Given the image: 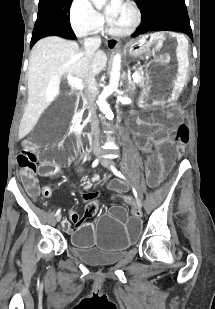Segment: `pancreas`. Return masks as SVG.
Wrapping results in <instances>:
<instances>
[{
  "instance_id": "pancreas-1",
  "label": "pancreas",
  "mask_w": 215,
  "mask_h": 309,
  "mask_svg": "<svg viewBox=\"0 0 215 309\" xmlns=\"http://www.w3.org/2000/svg\"><path fill=\"white\" fill-rule=\"evenodd\" d=\"M135 72H137L139 80H137V82H129L128 86H131V88H135V84H138V86H143L145 82V76L143 70H141V68H137Z\"/></svg>"
}]
</instances>
